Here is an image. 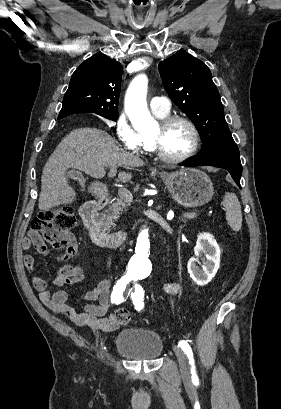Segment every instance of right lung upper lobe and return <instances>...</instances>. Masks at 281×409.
<instances>
[{
	"label": "right lung upper lobe",
	"instance_id": "obj_1",
	"mask_svg": "<svg viewBox=\"0 0 281 409\" xmlns=\"http://www.w3.org/2000/svg\"><path fill=\"white\" fill-rule=\"evenodd\" d=\"M122 66L103 53L84 61L73 73L58 119L75 113L118 114Z\"/></svg>",
	"mask_w": 281,
	"mask_h": 409
}]
</instances>
